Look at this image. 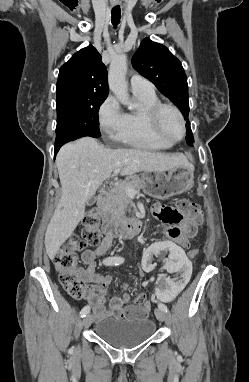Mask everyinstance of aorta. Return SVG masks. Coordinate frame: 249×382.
I'll list each match as a JSON object with an SVG mask.
<instances>
[{
    "label": "aorta",
    "instance_id": "1",
    "mask_svg": "<svg viewBox=\"0 0 249 382\" xmlns=\"http://www.w3.org/2000/svg\"><path fill=\"white\" fill-rule=\"evenodd\" d=\"M127 56L125 54L115 57L109 67V89L116 98L129 109H134L135 104L130 100L126 82Z\"/></svg>",
    "mask_w": 249,
    "mask_h": 382
}]
</instances>
